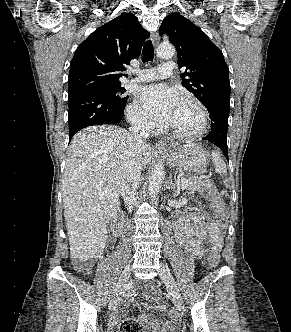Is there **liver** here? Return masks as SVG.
Here are the masks:
<instances>
[{"instance_id": "obj_1", "label": "liver", "mask_w": 291, "mask_h": 332, "mask_svg": "<svg viewBox=\"0 0 291 332\" xmlns=\"http://www.w3.org/2000/svg\"><path fill=\"white\" fill-rule=\"evenodd\" d=\"M129 133L117 126H91L69 145L62 181L70 256L85 262L102 256L107 226L120 209L119 194ZM155 150L142 148V165Z\"/></svg>"}]
</instances>
